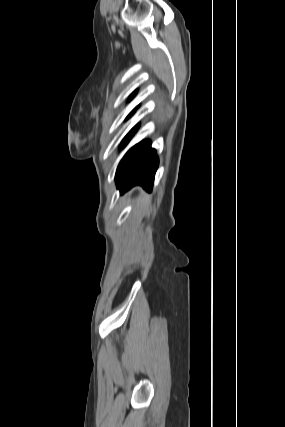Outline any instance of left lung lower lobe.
<instances>
[{
  "label": "left lung lower lobe",
  "instance_id": "0a47b994",
  "mask_svg": "<svg viewBox=\"0 0 285 427\" xmlns=\"http://www.w3.org/2000/svg\"><path fill=\"white\" fill-rule=\"evenodd\" d=\"M134 127L122 141L125 146L136 132ZM158 158L149 141H142L132 147L123 157L116 171V184L121 193L134 185L150 190L153 186Z\"/></svg>",
  "mask_w": 285,
  "mask_h": 427
}]
</instances>
